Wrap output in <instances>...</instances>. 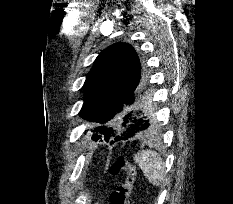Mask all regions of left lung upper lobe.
<instances>
[{
  "label": "left lung upper lobe",
  "instance_id": "5c2ea615",
  "mask_svg": "<svg viewBox=\"0 0 233 204\" xmlns=\"http://www.w3.org/2000/svg\"><path fill=\"white\" fill-rule=\"evenodd\" d=\"M141 79V64L134 48L126 43L109 46L99 54L87 75L80 115L102 124L112 120L122 111L126 92ZM95 131L98 135L92 136L94 141L118 136L112 126L101 125Z\"/></svg>",
  "mask_w": 233,
  "mask_h": 204
}]
</instances>
